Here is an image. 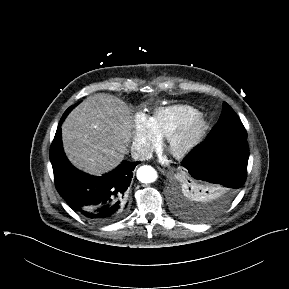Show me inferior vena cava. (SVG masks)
Listing matches in <instances>:
<instances>
[{
    "label": "inferior vena cava",
    "mask_w": 289,
    "mask_h": 289,
    "mask_svg": "<svg viewBox=\"0 0 289 289\" xmlns=\"http://www.w3.org/2000/svg\"><path fill=\"white\" fill-rule=\"evenodd\" d=\"M131 156L134 160L145 161L151 157V153L144 148L132 146Z\"/></svg>",
    "instance_id": "inferior-vena-cava-1"
}]
</instances>
